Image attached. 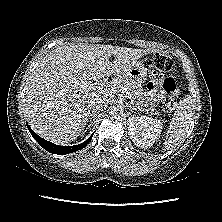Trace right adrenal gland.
<instances>
[{
  "instance_id": "2a0ac1e0",
  "label": "right adrenal gland",
  "mask_w": 222,
  "mask_h": 222,
  "mask_svg": "<svg viewBox=\"0 0 222 222\" xmlns=\"http://www.w3.org/2000/svg\"><path fill=\"white\" fill-rule=\"evenodd\" d=\"M94 117H95V114H90V115H89L90 124L88 125V127L91 125V123H92V118H94Z\"/></svg>"
}]
</instances>
